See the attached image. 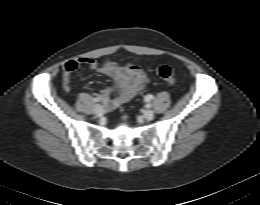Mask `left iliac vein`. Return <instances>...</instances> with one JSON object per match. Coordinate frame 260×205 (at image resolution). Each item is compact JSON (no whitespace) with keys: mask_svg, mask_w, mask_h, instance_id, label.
<instances>
[{"mask_svg":"<svg viewBox=\"0 0 260 205\" xmlns=\"http://www.w3.org/2000/svg\"><path fill=\"white\" fill-rule=\"evenodd\" d=\"M143 116L146 120L150 121L154 118V112L152 110L148 109L144 112Z\"/></svg>","mask_w":260,"mask_h":205,"instance_id":"obj_1","label":"left iliac vein"}]
</instances>
